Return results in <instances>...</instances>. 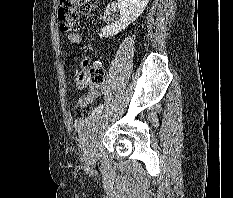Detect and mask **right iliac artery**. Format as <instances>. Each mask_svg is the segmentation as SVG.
<instances>
[{
  "label": "right iliac artery",
  "instance_id": "1",
  "mask_svg": "<svg viewBox=\"0 0 233 198\" xmlns=\"http://www.w3.org/2000/svg\"><path fill=\"white\" fill-rule=\"evenodd\" d=\"M104 108V105H99L98 107L95 108V110L92 113V116H95L96 114H99L102 109Z\"/></svg>",
  "mask_w": 233,
  "mask_h": 198
}]
</instances>
